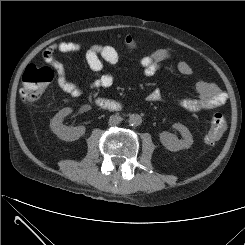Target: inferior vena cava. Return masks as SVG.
Masks as SVG:
<instances>
[{
  "label": "inferior vena cava",
  "mask_w": 245,
  "mask_h": 245,
  "mask_svg": "<svg viewBox=\"0 0 245 245\" xmlns=\"http://www.w3.org/2000/svg\"><path fill=\"white\" fill-rule=\"evenodd\" d=\"M122 120H123L122 117L119 115H111L108 124L110 126H116L119 123H121Z\"/></svg>",
  "instance_id": "obj_1"
}]
</instances>
